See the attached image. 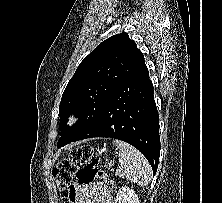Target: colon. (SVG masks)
<instances>
[{
	"instance_id": "5ec220e1",
	"label": "colon",
	"mask_w": 222,
	"mask_h": 203,
	"mask_svg": "<svg viewBox=\"0 0 222 203\" xmlns=\"http://www.w3.org/2000/svg\"><path fill=\"white\" fill-rule=\"evenodd\" d=\"M53 176L61 193L68 199L74 178L81 184H90L95 180L108 181L106 173L100 168L99 158L88 145L73 149L66 159L55 166Z\"/></svg>"
}]
</instances>
